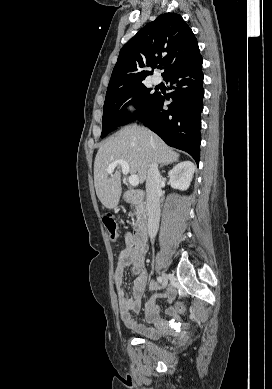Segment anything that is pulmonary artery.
<instances>
[{
	"label": "pulmonary artery",
	"instance_id": "pulmonary-artery-1",
	"mask_svg": "<svg viewBox=\"0 0 272 389\" xmlns=\"http://www.w3.org/2000/svg\"><path fill=\"white\" fill-rule=\"evenodd\" d=\"M152 81H153L154 84H159L161 82V78L158 77V76H154L152 78Z\"/></svg>",
	"mask_w": 272,
	"mask_h": 389
}]
</instances>
